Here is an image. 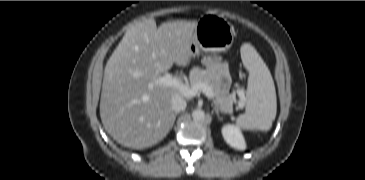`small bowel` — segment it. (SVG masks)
Here are the masks:
<instances>
[{
    "instance_id": "obj_1",
    "label": "small bowel",
    "mask_w": 365,
    "mask_h": 180,
    "mask_svg": "<svg viewBox=\"0 0 365 180\" xmlns=\"http://www.w3.org/2000/svg\"><path fill=\"white\" fill-rule=\"evenodd\" d=\"M204 65L215 81L222 83L224 86L229 84L230 75L225 63H221L216 56H207L204 58Z\"/></svg>"
}]
</instances>
